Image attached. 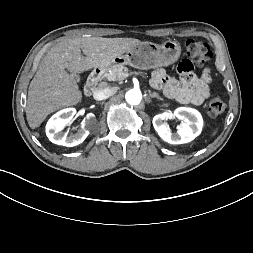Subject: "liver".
I'll return each instance as SVG.
<instances>
[{"label":"liver","mask_w":253,"mask_h":253,"mask_svg":"<svg viewBox=\"0 0 253 253\" xmlns=\"http://www.w3.org/2000/svg\"><path fill=\"white\" fill-rule=\"evenodd\" d=\"M141 41L134 38H65L56 43L41 61L28 89L26 116L35 129L54 111L82 101L73 75L92 68H106ZM82 52L86 57L82 56Z\"/></svg>","instance_id":"liver-1"}]
</instances>
